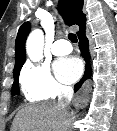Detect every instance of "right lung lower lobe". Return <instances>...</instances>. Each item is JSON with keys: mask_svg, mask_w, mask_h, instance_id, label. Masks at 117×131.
<instances>
[{"mask_svg": "<svg viewBox=\"0 0 117 131\" xmlns=\"http://www.w3.org/2000/svg\"><path fill=\"white\" fill-rule=\"evenodd\" d=\"M78 38H79V48L81 50V53H82L83 57L85 58V60L88 61V59L90 57L89 42H88V39L85 35V31L83 33L79 34ZM90 76H91V68H90V66L88 65V62H87L85 74H84L83 78L75 85L74 91L76 92L77 89H79L82 86L84 81L86 79L90 78Z\"/></svg>", "mask_w": 117, "mask_h": 131, "instance_id": "obj_1", "label": "right lung lower lobe"}]
</instances>
